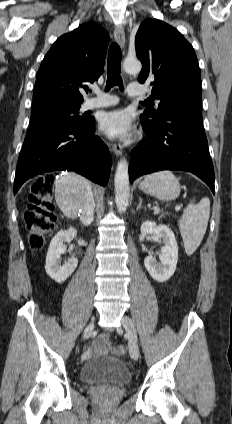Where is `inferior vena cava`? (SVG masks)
Returning a JSON list of instances; mask_svg holds the SVG:
<instances>
[{"mask_svg":"<svg viewBox=\"0 0 232 424\" xmlns=\"http://www.w3.org/2000/svg\"><path fill=\"white\" fill-rule=\"evenodd\" d=\"M95 201L93 194L89 191L86 194L84 203L80 209L79 217L84 225H90L93 221Z\"/></svg>","mask_w":232,"mask_h":424,"instance_id":"602c4592","label":"inferior vena cava"}]
</instances>
